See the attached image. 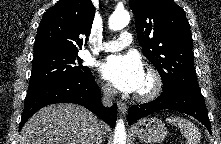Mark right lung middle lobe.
Returning a JSON list of instances; mask_svg holds the SVG:
<instances>
[{"label":"right lung middle lobe","instance_id":"1","mask_svg":"<svg viewBox=\"0 0 221 144\" xmlns=\"http://www.w3.org/2000/svg\"><path fill=\"white\" fill-rule=\"evenodd\" d=\"M78 52L42 51L34 53L28 92L58 80H85L91 76Z\"/></svg>","mask_w":221,"mask_h":144}]
</instances>
